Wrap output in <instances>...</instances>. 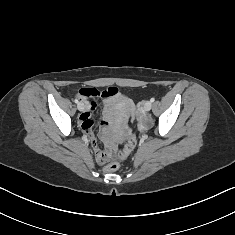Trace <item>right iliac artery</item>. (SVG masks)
<instances>
[{"mask_svg":"<svg viewBox=\"0 0 235 235\" xmlns=\"http://www.w3.org/2000/svg\"><path fill=\"white\" fill-rule=\"evenodd\" d=\"M74 102H75V103H78L79 101H78V99H75Z\"/></svg>","mask_w":235,"mask_h":235,"instance_id":"82829eb1","label":"right iliac artery"}]
</instances>
